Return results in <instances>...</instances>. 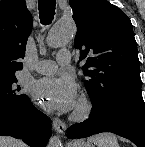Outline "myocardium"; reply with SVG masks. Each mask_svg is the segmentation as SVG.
Returning <instances> with one entry per match:
<instances>
[{
	"label": "myocardium",
	"instance_id": "obj_1",
	"mask_svg": "<svg viewBox=\"0 0 145 147\" xmlns=\"http://www.w3.org/2000/svg\"><path fill=\"white\" fill-rule=\"evenodd\" d=\"M93 111V103L87 96H82L72 113V119L76 122H82L88 119Z\"/></svg>",
	"mask_w": 145,
	"mask_h": 147
}]
</instances>
